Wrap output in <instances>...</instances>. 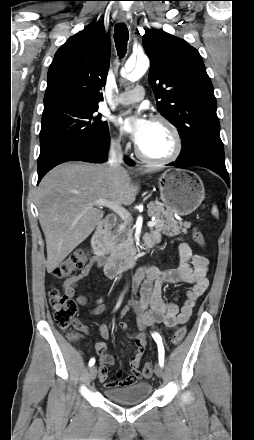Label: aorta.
Instances as JSON below:
<instances>
[{
	"label": "aorta",
	"instance_id": "aorta-1",
	"mask_svg": "<svg viewBox=\"0 0 254 440\" xmlns=\"http://www.w3.org/2000/svg\"><path fill=\"white\" fill-rule=\"evenodd\" d=\"M149 67V59L147 56H138L137 60H128L125 64V71L130 73L131 80H138L142 77Z\"/></svg>",
	"mask_w": 254,
	"mask_h": 440
}]
</instances>
